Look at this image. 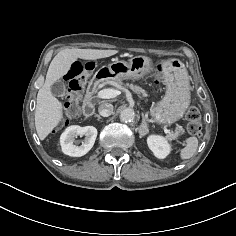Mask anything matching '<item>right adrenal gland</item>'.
<instances>
[{
  "label": "right adrenal gland",
  "mask_w": 236,
  "mask_h": 236,
  "mask_svg": "<svg viewBox=\"0 0 236 236\" xmlns=\"http://www.w3.org/2000/svg\"><path fill=\"white\" fill-rule=\"evenodd\" d=\"M95 117H97L98 120H101V119H102L101 116L98 115V114H96Z\"/></svg>",
  "instance_id": "right-adrenal-gland-1"
}]
</instances>
